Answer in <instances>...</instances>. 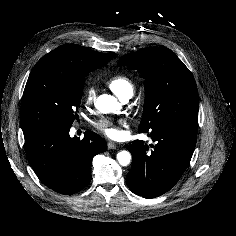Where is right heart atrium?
Returning <instances> with one entry per match:
<instances>
[{"label": "right heart atrium", "mask_w": 236, "mask_h": 236, "mask_svg": "<svg viewBox=\"0 0 236 236\" xmlns=\"http://www.w3.org/2000/svg\"><path fill=\"white\" fill-rule=\"evenodd\" d=\"M95 96V89L91 86H88L85 90L84 94V100L87 104H90L93 102Z\"/></svg>", "instance_id": "right-heart-atrium-1"}]
</instances>
